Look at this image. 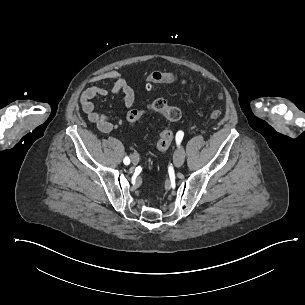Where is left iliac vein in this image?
<instances>
[{
    "instance_id": "1",
    "label": "left iliac vein",
    "mask_w": 305,
    "mask_h": 305,
    "mask_svg": "<svg viewBox=\"0 0 305 305\" xmlns=\"http://www.w3.org/2000/svg\"><path fill=\"white\" fill-rule=\"evenodd\" d=\"M184 160H185V152H184V149L182 147H180L175 151L174 163L177 167H180L183 165Z\"/></svg>"
}]
</instances>
